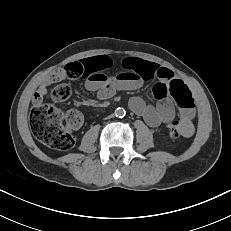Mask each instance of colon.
I'll list each match as a JSON object with an SVG mask.
<instances>
[{
  "instance_id": "colon-1",
  "label": "colon",
  "mask_w": 231,
  "mask_h": 231,
  "mask_svg": "<svg viewBox=\"0 0 231 231\" xmlns=\"http://www.w3.org/2000/svg\"><path fill=\"white\" fill-rule=\"evenodd\" d=\"M67 77L77 78L82 75V67L76 62L68 63L64 67ZM71 95L68 84L61 83L51 89L50 96L54 101H65ZM30 126L33 135L44 145L57 149L69 150L74 145V137L71 130L82 124V115L76 110H69L63 114L53 105L43 102L33 103L30 110ZM171 138L178 139L182 136V127L179 122H173L169 126Z\"/></svg>"
}]
</instances>
